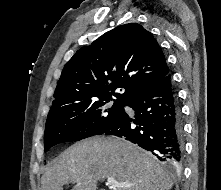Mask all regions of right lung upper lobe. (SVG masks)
<instances>
[{
  "label": "right lung upper lobe",
  "mask_w": 221,
  "mask_h": 190,
  "mask_svg": "<svg viewBox=\"0 0 221 190\" xmlns=\"http://www.w3.org/2000/svg\"><path fill=\"white\" fill-rule=\"evenodd\" d=\"M169 74L152 34L138 23L108 31L66 63L50 110L111 97L126 100ZM122 88V93H114Z\"/></svg>",
  "instance_id": "1"
}]
</instances>
